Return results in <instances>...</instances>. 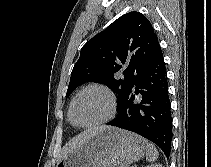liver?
<instances>
[{
    "instance_id": "1",
    "label": "liver",
    "mask_w": 211,
    "mask_h": 167,
    "mask_svg": "<svg viewBox=\"0 0 211 167\" xmlns=\"http://www.w3.org/2000/svg\"><path fill=\"white\" fill-rule=\"evenodd\" d=\"M110 127L108 126H97L90 128L77 137L70 140L65 147L63 148L61 159L64 158L67 154L74 151L75 149L81 147L83 144H85L91 137L95 136L96 134L108 129Z\"/></svg>"
}]
</instances>
